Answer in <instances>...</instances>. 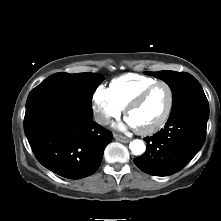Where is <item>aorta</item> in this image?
<instances>
[{
	"label": "aorta",
	"mask_w": 221,
	"mask_h": 221,
	"mask_svg": "<svg viewBox=\"0 0 221 221\" xmlns=\"http://www.w3.org/2000/svg\"><path fill=\"white\" fill-rule=\"evenodd\" d=\"M129 148L134 155H141L145 152V144L142 140L136 139L130 142Z\"/></svg>",
	"instance_id": "aorta-1"
}]
</instances>
